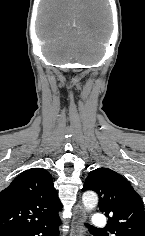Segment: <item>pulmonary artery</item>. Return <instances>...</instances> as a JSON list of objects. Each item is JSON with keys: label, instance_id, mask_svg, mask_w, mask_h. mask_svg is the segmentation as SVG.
Wrapping results in <instances>:
<instances>
[{"label": "pulmonary artery", "instance_id": "1", "mask_svg": "<svg viewBox=\"0 0 145 236\" xmlns=\"http://www.w3.org/2000/svg\"><path fill=\"white\" fill-rule=\"evenodd\" d=\"M107 224V218L103 214H95L92 217V225L95 227H104Z\"/></svg>", "mask_w": 145, "mask_h": 236}]
</instances>
